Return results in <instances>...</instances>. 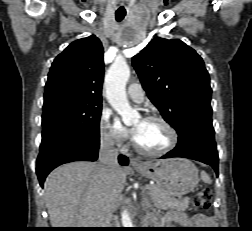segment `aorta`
<instances>
[{"mask_svg": "<svg viewBox=\"0 0 252 231\" xmlns=\"http://www.w3.org/2000/svg\"><path fill=\"white\" fill-rule=\"evenodd\" d=\"M130 77V68L123 60H115L109 68L106 78V96L110 105L122 117L125 124H130L138 116L136 110L129 105L125 91L126 84ZM122 224L124 228H133V221L127 210L122 212Z\"/></svg>", "mask_w": 252, "mask_h": 231, "instance_id": "obj_1", "label": "aorta"}]
</instances>
